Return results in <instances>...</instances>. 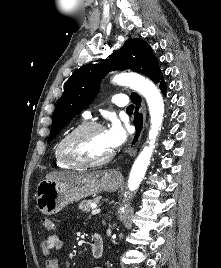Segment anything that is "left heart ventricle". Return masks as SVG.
I'll list each match as a JSON object with an SVG mask.
<instances>
[{
  "instance_id": "b2bd125f",
  "label": "left heart ventricle",
  "mask_w": 221,
  "mask_h": 268,
  "mask_svg": "<svg viewBox=\"0 0 221 268\" xmlns=\"http://www.w3.org/2000/svg\"><path fill=\"white\" fill-rule=\"evenodd\" d=\"M72 151L90 159L103 158L112 152L104 130H93L80 136L73 142Z\"/></svg>"
}]
</instances>
